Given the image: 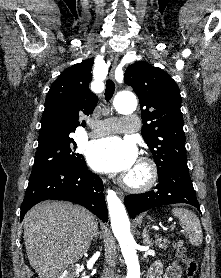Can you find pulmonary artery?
Instances as JSON below:
<instances>
[{"mask_svg": "<svg viewBox=\"0 0 221 278\" xmlns=\"http://www.w3.org/2000/svg\"><path fill=\"white\" fill-rule=\"evenodd\" d=\"M92 137L102 136L116 132H132L137 130L138 119L135 116H126L122 119L110 118L100 123L92 122L90 124Z\"/></svg>", "mask_w": 221, "mask_h": 278, "instance_id": "pulmonary-artery-1", "label": "pulmonary artery"}]
</instances>
